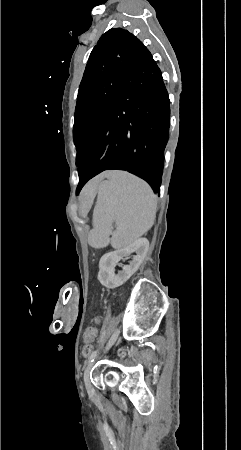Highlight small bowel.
Returning <instances> with one entry per match:
<instances>
[{
  "instance_id": "small-bowel-1",
  "label": "small bowel",
  "mask_w": 241,
  "mask_h": 450,
  "mask_svg": "<svg viewBox=\"0 0 241 450\" xmlns=\"http://www.w3.org/2000/svg\"><path fill=\"white\" fill-rule=\"evenodd\" d=\"M92 321H99L100 322V318L98 317V316H93L92 318H91V322ZM97 331V330H96ZM84 337L85 336H83V339H84Z\"/></svg>"
}]
</instances>
